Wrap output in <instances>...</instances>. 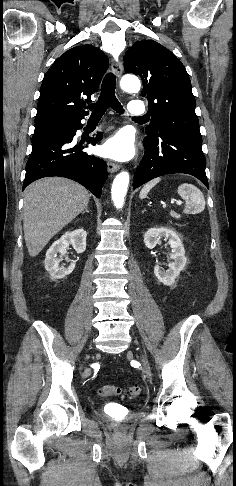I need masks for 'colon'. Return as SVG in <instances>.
Returning a JSON list of instances; mask_svg holds the SVG:
<instances>
[{"instance_id":"obj_1","label":"colon","mask_w":236,"mask_h":486,"mask_svg":"<svg viewBox=\"0 0 236 486\" xmlns=\"http://www.w3.org/2000/svg\"><path fill=\"white\" fill-rule=\"evenodd\" d=\"M141 391L142 388L139 385H133L127 388H121L114 385H105L99 389L98 394L101 397L122 395L129 398H135L140 395Z\"/></svg>"}]
</instances>
